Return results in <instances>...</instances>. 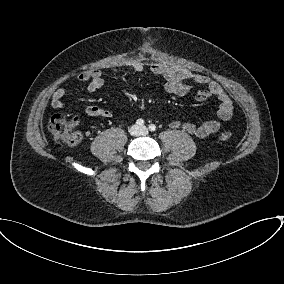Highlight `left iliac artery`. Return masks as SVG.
<instances>
[{"instance_id": "1", "label": "left iliac artery", "mask_w": 284, "mask_h": 284, "mask_svg": "<svg viewBox=\"0 0 284 284\" xmlns=\"http://www.w3.org/2000/svg\"><path fill=\"white\" fill-rule=\"evenodd\" d=\"M149 130H150L151 132H154V131L156 130V126H155L154 124H150V125H149Z\"/></svg>"}]
</instances>
